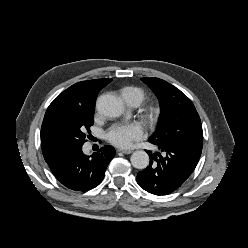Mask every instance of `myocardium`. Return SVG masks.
Listing matches in <instances>:
<instances>
[{
    "mask_svg": "<svg viewBox=\"0 0 248 248\" xmlns=\"http://www.w3.org/2000/svg\"><path fill=\"white\" fill-rule=\"evenodd\" d=\"M159 115V108L157 106L151 105L146 110V118L150 123H154Z\"/></svg>",
    "mask_w": 248,
    "mask_h": 248,
    "instance_id": "f54148a6",
    "label": "myocardium"
}]
</instances>
